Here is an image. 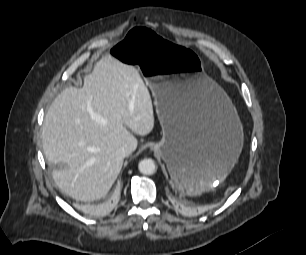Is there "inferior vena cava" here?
I'll return each mask as SVG.
<instances>
[{
    "mask_svg": "<svg viewBox=\"0 0 306 255\" xmlns=\"http://www.w3.org/2000/svg\"><path fill=\"white\" fill-rule=\"evenodd\" d=\"M135 150V148L130 145V144H124L122 145L119 150H118V153L123 157H127L129 156L133 151Z\"/></svg>",
    "mask_w": 306,
    "mask_h": 255,
    "instance_id": "602c4592",
    "label": "inferior vena cava"
}]
</instances>
